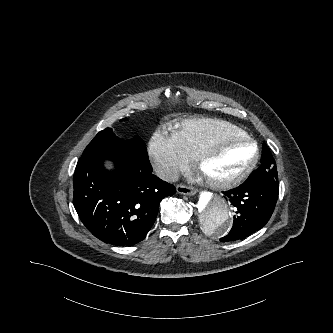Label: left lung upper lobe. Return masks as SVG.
<instances>
[{
  "label": "left lung upper lobe",
  "mask_w": 333,
  "mask_h": 333,
  "mask_svg": "<svg viewBox=\"0 0 333 333\" xmlns=\"http://www.w3.org/2000/svg\"><path fill=\"white\" fill-rule=\"evenodd\" d=\"M278 173L271 154L261 157L260 167L253 171L246 181H277Z\"/></svg>",
  "instance_id": "5c2ea615"
}]
</instances>
